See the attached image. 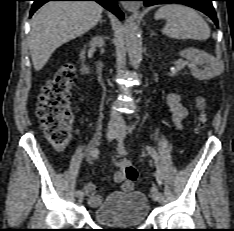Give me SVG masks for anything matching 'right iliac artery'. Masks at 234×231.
Listing matches in <instances>:
<instances>
[{"instance_id":"right-iliac-artery-1","label":"right iliac artery","mask_w":234,"mask_h":231,"mask_svg":"<svg viewBox=\"0 0 234 231\" xmlns=\"http://www.w3.org/2000/svg\"><path fill=\"white\" fill-rule=\"evenodd\" d=\"M90 155H91L92 157H97V156L99 155V149L96 148V147H93V148L90 150ZM82 193H83L82 190L76 191V195H77V196L80 195V194H82Z\"/></svg>"}]
</instances>
